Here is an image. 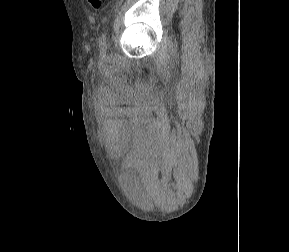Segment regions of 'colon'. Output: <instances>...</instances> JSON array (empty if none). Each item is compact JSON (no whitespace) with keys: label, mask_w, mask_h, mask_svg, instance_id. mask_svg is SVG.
I'll return each instance as SVG.
<instances>
[{"label":"colon","mask_w":289,"mask_h":252,"mask_svg":"<svg viewBox=\"0 0 289 252\" xmlns=\"http://www.w3.org/2000/svg\"><path fill=\"white\" fill-rule=\"evenodd\" d=\"M88 2L94 9H99L103 3V0H88Z\"/></svg>","instance_id":"obj_1"}]
</instances>
